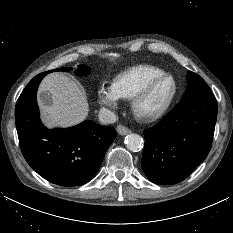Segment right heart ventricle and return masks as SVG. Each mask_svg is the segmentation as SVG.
Here are the masks:
<instances>
[{"instance_id": "1", "label": "right heart ventricle", "mask_w": 233, "mask_h": 233, "mask_svg": "<svg viewBox=\"0 0 233 233\" xmlns=\"http://www.w3.org/2000/svg\"><path fill=\"white\" fill-rule=\"evenodd\" d=\"M163 74L164 71L158 67L138 65L119 74L113 86L120 98L131 99L150 80Z\"/></svg>"}]
</instances>
